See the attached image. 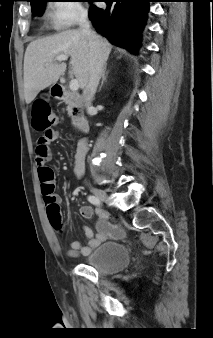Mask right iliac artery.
<instances>
[{"mask_svg":"<svg viewBox=\"0 0 213 338\" xmlns=\"http://www.w3.org/2000/svg\"><path fill=\"white\" fill-rule=\"evenodd\" d=\"M88 201L94 205H100L101 204V200L98 199L96 196L90 195L88 196Z\"/></svg>","mask_w":213,"mask_h":338,"instance_id":"1","label":"right iliac artery"}]
</instances>
